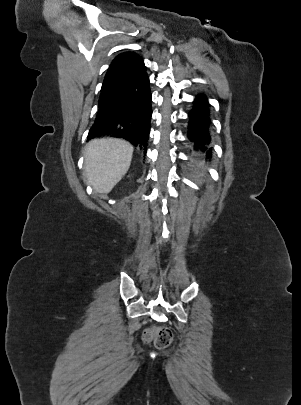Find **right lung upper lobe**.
Returning a JSON list of instances; mask_svg holds the SVG:
<instances>
[{
  "mask_svg": "<svg viewBox=\"0 0 301 405\" xmlns=\"http://www.w3.org/2000/svg\"><path fill=\"white\" fill-rule=\"evenodd\" d=\"M141 57L136 53L125 52L119 54L111 63L101 88L106 90L117 82Z\"/></svg>",
  "mask_w": 301,
  "mask_h": 405,
  "instance_id": "right-lung-upper-lobe-1",
  "label": "right lung upper lobe"
}]
</instances>
